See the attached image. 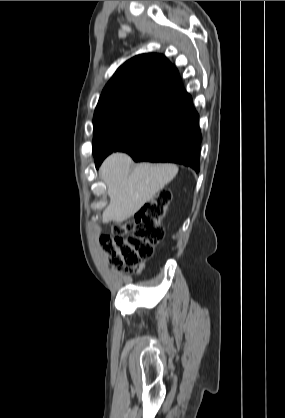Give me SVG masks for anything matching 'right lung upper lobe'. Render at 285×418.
I'll return each mask as SVG.
<instances>
[{
  "label": "right lung upper lobe",
  "instance_id": "cb5924a9",
  "mask_svg": "<svg viewBox=\"0 0 285 418\" xmlns=\"http://www.w3.org/2000/svg\"><path fill=\"white\" fill-rule=\"evenodd\" d=\"M178 70L161 54H141L120 66L102 91L96 110L138 101L175 110L191 101Z\"/></svg>",
  "mask_w": 285,
  "mask_h": 418
}]
</instances>
